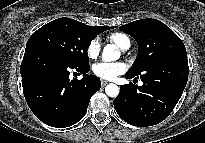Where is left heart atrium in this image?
I'll return each mask as SVG.
<instances>
[{"instance_id": "left-heart-atrium-1", "label": "left heart atrium", "mask_w": 205, "mask_h": 143, "mask_svg": "<svg viewBox=\"0 0 205 143\" xmlns=\"http://www.w3.org/2000/svg\"><path fill=\"white\" fill-rule=\"evenodd\" d=\"M92 70L102 79L113 80L126 70V65L122 62L100 61L93 65Z\"/></svg>"}]
</instances>
